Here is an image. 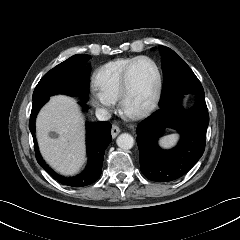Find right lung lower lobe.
Masks as SVG:
<instances>
[{"label": "right lung lower lobe", "instance_id": "obj_1", "mask_svg": "<svg viewBox=\"0 0 240 240\" xmlns=\"http://www.w3.org/2000/svg\"><path fill=\"white\" fill-rule=\"evenodd\" d=\"M49 96H44L33 100L32 111L29 121V129L34 138V146L36 150V158L39 165L47 171L54 179L63 185L72 187H83L94 183L101 175L104 152L109 143L112 141L111 124L108 122H95L86 124V148L88 154V164L85 170L73 177H65L55 173L42 159L39 152L38 144L35 138V120L39 109L48 101ZM83 110L87 109V105L80 103Z\"/></svg>", "mask_w": 240, "mask_h": 240}]
</instances>
